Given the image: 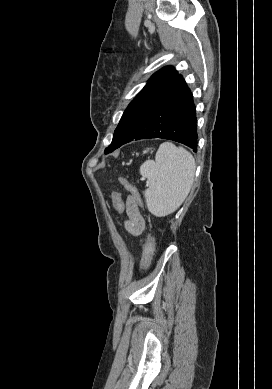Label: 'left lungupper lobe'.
Instances as JSON below:
<instances>
[{
    "label": "left lung upper lobe",
    "mask_w": 272,
    "mask_h": 389,
    "mask_svg": "<svg viewBox=\"0 0 272 389\" xmlns=\"http://www.w3.org/2000/svg\"><path fill=\"white\" fill-rule=\"evenodd\" d=\"M177 75L178 72L171 66H166L152 75L145 87L131 101L123 113L122 118L115 129L112 143L105 149L106 154L120 147L125 137L139 120L152 96Z\"/></svg>",
    "instance_id": "obj_1"
}]
</instances>
